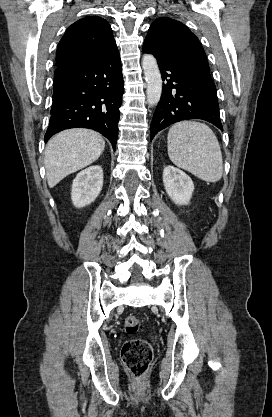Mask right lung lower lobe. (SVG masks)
I'll list each match as a JSON object with an SVG mask.
<instances>
[{"label": "right lung lower lobe", "mask_w": 272, "mask_h": 417, "mask_svg": "<svg viewBox=\"0 0 272 417\" xmlns=\"http://www.w3.org/2000/svg\"><path fill=\"white\" fill-rule=\"evenodd\" d=\"M123 93L116 45L92 63L56 68L45 142L64 129L84 127L104 135L115 150Z\"/></svg>", "instance_id": "right-lung-lower-lobe-1"}]
</instances>
